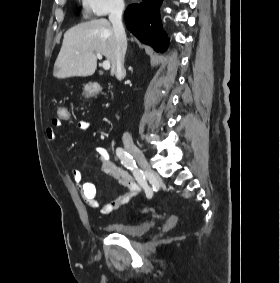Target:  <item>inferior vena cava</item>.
<instances>
[{
    "label": "inferior vena cava",
    "mask_w": 280,
    "mask_h": 283,
    "mask_svg": "<svg viewBox=\"0 0 280 283\" xmlns=\"http://www.w3.org/2000/svg\"><path fill=\"white\" fill-rule=\"evenodd\" d=\"M123 11H124V3H118L112 8L109 15V20L112 23L117 40L116 76L118 78H123L126 75V70L124 67V59L127 49V39L122 24ZM122 140L123 143L126 145L133 144L132 137L128 132L123 134Z\"/></svg>",
    "instance_id": "602c4592"
}]
</instances>
